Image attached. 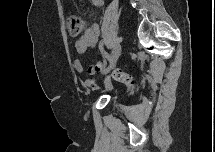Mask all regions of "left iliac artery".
Here are the masks:
<instances>
[{
	"mask_svg": "<svg viewBox=\"0 0 215 152\" xmlns=\"http://www.w3.org/2000/svg\"><path fill=\"white\" fill-rule=\"evenodd\" d=\"M104 56L108 58V63L112 64L113 63V57L111 54H108L107 52H103ZM112 69L111 65H108L106 69H101L100 75L104 76L105 74H107L108 72H110Z\"/></svg>",
	"mask_w": 215,
	"mask_h": 152,
	"instance_id": "44dca946",
	"label": "left iliac artery"
}]
</instances>
